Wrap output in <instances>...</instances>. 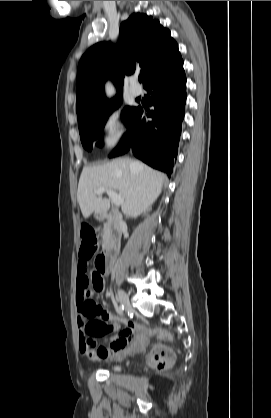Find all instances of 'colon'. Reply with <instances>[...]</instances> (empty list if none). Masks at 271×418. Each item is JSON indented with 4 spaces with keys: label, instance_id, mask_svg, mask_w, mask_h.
<instances>
[{
    "label": "colon",
    "instance_id": "colon-1",
    "mask_svg": "<svg viewBox=\"0 0 271 418\" xmlns=\"http://www.w3.org/2000/svg\"><path fill=\"white\" fill-rule=\"evenodd\" d=\"M81 246L79 256L82 260L87 261L91 259L97 249V236L94 227L85 224L81 228ZM96 269H99L96 261ZM158 334L162 338H166V333L159 331ZM174 363V354L167 348L162 347L153 351L150 355V364L160 371L169 369Z\"/></svg>",
    "mask_w": 271,
    "mask_h": 418
}]
</instances>
